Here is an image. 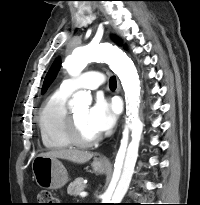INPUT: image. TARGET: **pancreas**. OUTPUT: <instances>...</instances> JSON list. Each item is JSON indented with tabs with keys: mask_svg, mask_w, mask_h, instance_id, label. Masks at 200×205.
I'll return each mask as SVG.
<instances>
[{
	"mask_svg": "<svg viewBox=\"0 0 200 205\" xmlns=\"http://www.w3.org/2000/svg\"><path fill=\"white\" fill-rule=\"evenodd\" d=\"M83 181L84 179L81 177L76 178L73 182L69 184L67 188V193L71 196L78 195L80 192H82L86 188V185L84 184Z\"/></svg>",
	"mask_w": 200,
	"mask_h": 205,
	"instance_id": "obj_1",
	"label": "pancreas"
}]
</instances>
